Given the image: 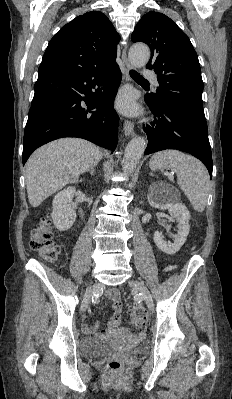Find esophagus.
Wrapping results in <instances>:
<instances>
[{"label": "esophagus", "instance_id": "34e87169", "mask_svg": "<svg viewBox=\"0 0 232 399\" xmlns=\"http://www.w3.org/2000/svg\"><path fill=\"white\" fill-rule=\"evenodd\" d=\"M122 62H123V66H124V70H125V74H126V80H130L129 72H130V70L133 69V67L128 62L126 46L124 47V49L122 51ZM123 128H124V133L126 135H131V136L135 135L134 124L130 120H125Z\"/></svg>", "mask_w": 232, "mask_h": 399}]
</instances>
